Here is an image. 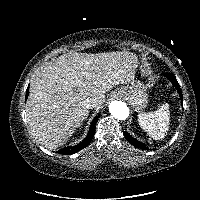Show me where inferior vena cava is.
<instances>
[{
    "instance_id": "obj_1",
    "label": "inferior vena cava",
    "mask_w": 200,
    "mask_h": 200,
    "mask_svg": "<svg viewBox=\"0 0 200 200\" xmlns=\"http://www.w3.org/2000/svg\"><path fill=\"white\" fill-rule=\"evenodd\" d=\"M92 107H93V102H92V100L90 98H86V99H84L82 101V108L83 109L88 110V109H90Z\"/></svg>"
}]
</instances>
